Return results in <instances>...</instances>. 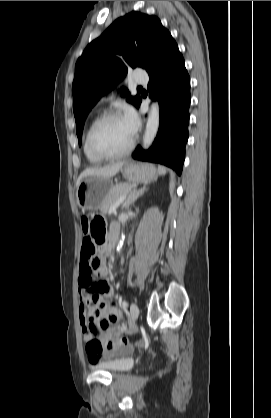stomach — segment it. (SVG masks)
<instances>
[{
	"instance_id": "1",
	"label": "stomach",
	"mask_w": 271,
	"mask_h": 418,
	"mask_svg": "<svg viewBox=\"0 0 271 418\" xmlns=\"http://www.w3.org/2000/svg\"><path fill=\"white\" fill-rule=\"evenodd\" d=\"M121 172L130 183H148L157 177L152 164L125 163ZM112 187L110 178L89 176L82 179L76 192L78 206L84 211L100 209Z\"/></svg>"
}]
</instances>
